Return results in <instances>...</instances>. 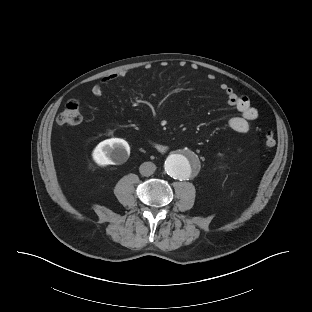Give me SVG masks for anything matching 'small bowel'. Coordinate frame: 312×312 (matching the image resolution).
I'll list each match as a JSON object with an SVG mask.
<instances>
[{
	"instance_id": "obj_1",
	"label": "small bowel",
	"mask_w": 312,
	"mask_h": 312,
	"mask_svg": "<svg viewBox=\"0 0 312 312\" xmlns=\"http://www.w3.org/2000/svg\"><path fill=\"white\" fill-rule=\"evenodd\" d=\"M126 76L125 71L108 74L100 79V81L93 85L91 92L97 97L103 96V86L118 78ZM209 79H213L212 74L208 75ZM221 90L225 93L227 104L235 108L240 115L232 117L229 120V127L236 133H247L251 129V124L258 118V111L254 108L248 97L238 95L227 84H221Z\"/></svg>"
}]
</instances>
